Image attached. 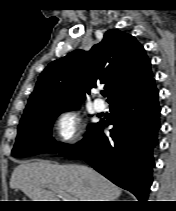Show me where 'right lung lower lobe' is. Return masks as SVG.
<instances>
[{
    "label": "right lung lower lobe",
    "instance_id": "1",
    "mask_svg": "<svg viewBox=\"0 0 176 211\" xmlns=\"http://www.w3.org/2000/svg\"><path fill=\"white\" fill-rule=\"evenodd\" d=\"M114 116L110 137L104 123L95 124L82 143L60 155L82 159L114 184L146 201L152 183L153 147L159 129L158 91L154 81L137 95L110 106Z\"/></svg>",
    "mask_w": 176,
    "mask_h": 211
}]
</instances>
